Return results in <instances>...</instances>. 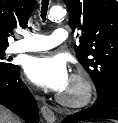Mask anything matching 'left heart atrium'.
Wrapping results in <instances>:
<instances>
[{
	"mask_svg": "<svg viewBox=\"0 0 118 123\" xmlns=\"http://www.w3.org/2000/svg\"><path fill=\"white\" fill-rule=\"evenodd\" d=\"M24 70L33 83L55 92H63L70 83L66 63L59 56L31 57L27 60Z\"/></svg>",
	"mask_w": 118,
	"mask_h": 123,
	"instance_id": "39dd6f15",
	"label": "left heart atrium"
}]
</instances>
